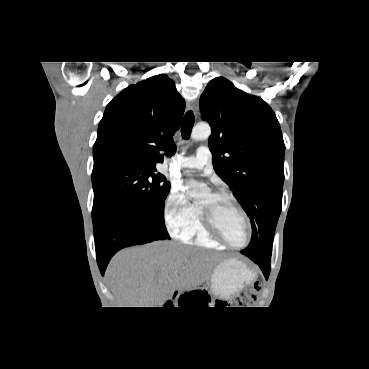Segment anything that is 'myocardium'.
Listing matches in <instances>:
<instances>
[{
  "label": "myocardium",
  "instance_id": "myocardium-1",
  "mask_svg": "<svg viewBox=\"0 0 369 369\" xmlns=\"http://www.w3.org/2000/svg\"><path fill=\"white\" fill-rule=\"evenodd\" d=\"M212 196L216 199H226L229 200L230 202H232L236 208L241 212L244 220H245V224H246V228H247V238L246 241L242 244V245H235L233 243H231L230 241H228L225 236L221 233V231L219 230L214 216L212 214V212L203 209L202 207L199 206V212H200V218H201V222L203 224L204 229L207 231V233L216 241H218L219 243L230 247L232 249H243L246 248L252 239V225H251V221L249 218L248 213L246 212V210L244 209V207L238 202V200L230 193L225 192V191H216L211 193Z\"/></svg>",
  "mask_w": 369,
  "mask_h": 369
}]
</instances>
